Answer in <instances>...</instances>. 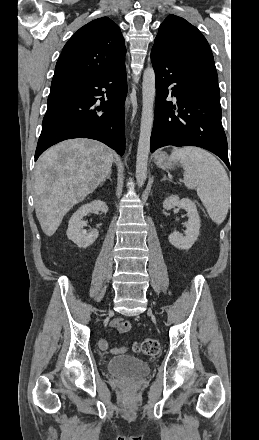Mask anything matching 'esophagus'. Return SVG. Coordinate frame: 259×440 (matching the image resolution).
Segmentation results:
<instances>
[{
    "label": "esophagus",
    "instance_id": "esophagus-1",
    "mask_svg": "<svg viewBox=\"0 0 259 440\" xmlns=\"http://www.w3.org/2000/svg\"><path fill=\"white\" fill-rule=\"evenodd\" d=\"M131 104V99L128 97L126 100V109L129 110Z\"/></svg>",
    "mask_w": 259,
    "mask_h": 440
}]
</instances>
